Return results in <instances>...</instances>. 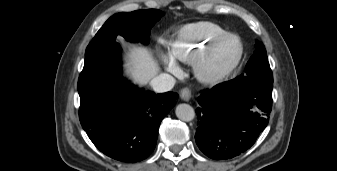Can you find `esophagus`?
I'll list each match as a JSON object with an SVG mask.
<instances>
[{"label":"esophagus","instance_id":"34e87169","mask_svg":"<svg viewBox=\"0 0 337 171\" xmlns=\"http://www.w3.org/2000/svg\"><path fill=\"white\" fill-rule=\"evenodd\" d=\"M180 97L184 101H188L191 98V91L189 88H183L180 91Z\"/></svg>","mask_w":337,"mask_h":171}]
</instances>
